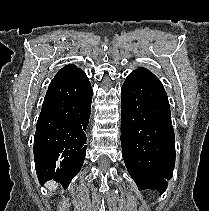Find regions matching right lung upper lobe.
I'll return each instance as SVG.
<instances>
[{
    "instance_id": "cb5924a9",
    "label": "right lung upper lobe",
    "mask_w": 209,
    "mask_h": 211,
    "mask_svg": "<svg viewBox=\"0 0 209 211\" xmlns=\"http://www.w3.org/2000/svg\"><path fill=\"white\" fill-rule=\"evenodd\" d=\"M79 70L75 65H66L61 70L58 71V73L55 75L53 80L51 81L50 86L54 85L55 83L60 82L61 80L65 79L66 77L70 76L72 73Z\"/></svg>"
}]
</instances>
